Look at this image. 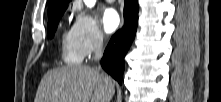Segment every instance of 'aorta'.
Segmentation results:
<instances>
[{"label":"aorta","mask_w":221,"mask_h":102,"mask_svg":"<svg viewBox=\"0 0 221 102\" xmlns=\"http://www.w3.org/2000/svg\"><path fill=\"white\" fill-rule=\"evenodd\" d=\"M84 3L87 7L92 8L95 5L96 0H84Z\"/></svg>","instance_id":"aorta-1"}]
</instances>
